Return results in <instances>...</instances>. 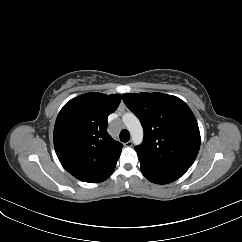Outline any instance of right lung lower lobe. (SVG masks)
I'll return each instance as SVG.
<instances>
[{
    "label": "right lung lower lobe",
    "instance_id": "1",
    "mask_svg": "<svg viewBox=\"0 0 242 242\" xmlns=\"http://www.w3.org/2000/svg\"><path fill=\"white\" fill-rule=\"evenodd\" d=\"M116 166V163L113 164L112 166H110L103 174H101L94 182L92 183H97V182H102L104 180H106L114 171Z\"/></svg>",
    "mask_w": 242,
    "mask_h": 242
}]
</instances>
